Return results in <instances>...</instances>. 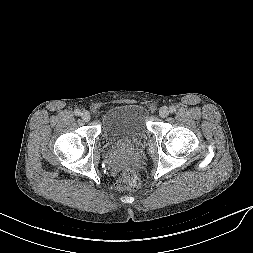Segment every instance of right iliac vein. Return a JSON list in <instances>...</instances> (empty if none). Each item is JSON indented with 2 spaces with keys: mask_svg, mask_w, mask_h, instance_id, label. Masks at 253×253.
Wrapping results in <instances>:
<instances>
[{
  "mask_svg": "<svg viewBox=\"0 0 253 253\" xmlns=\"http://www.w3.org/2000/svg\"><path fill=\"white\" fill-rule=\"evenodd\" d=\"M81 118L85 121L88 122L90 120V113L88 111H82L81 113Z\"/></svg>",
  "mask_w": 253,
  "mask_h": 253,
  "instance_id": "obj_1",
  "label": "right iliac vein"
}]
</instances>
